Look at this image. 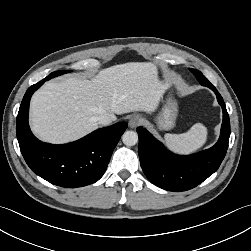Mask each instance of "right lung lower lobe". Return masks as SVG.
<instances>
[{
    "label": "right lung lower lobe",
    "instance_id": "obj_1",
    "mask_svg": "<svg viewBox=\"0 0 251 251\" xmlns=\"http://www.w3.org/2000/svg\"><path fill=\"white\" fill-rule=\"evenodd\" d=\"M45 81L46 78L32 85L21 102L16 121L21 153L34 173L54 185L76 188L92 184L104 174L127 123L98 129L68 144L41 142L29 128L28 113L32 94Z\"/></svg>",
    "mask_w": 251,
    "mask_h": 251
}]
</instances>
